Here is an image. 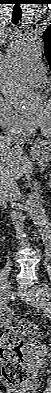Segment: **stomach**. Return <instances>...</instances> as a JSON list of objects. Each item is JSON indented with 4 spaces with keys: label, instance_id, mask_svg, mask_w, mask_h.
Segmentation results:
<instances>
[{
    "label": "stomach",
    "instance_id": "obj_1",
    "mask_svg": "<svg viewBox=\"0 0 51 393\" xmlns=\"http://www.w3.org/2000/svg\"><path fill=\"white\" fill-rule=\"evenodd\" d=\"M33 157L39 163L51 162V147L41 146L33 152Z\"/></svg>",
    "mask_w": 51,
    "mask_h": 393
}]
</instances>
